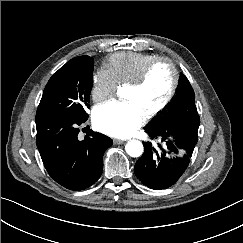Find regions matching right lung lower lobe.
Segmentation results:
<instances>
[{
	"label": "right lung lower lobe",
	"instance_id": "1",
	"mask_svg": "<svg viewBox=\"0 0 243 243\" xmlns=\"http://www.w3.org/2000/svg\"><path fill=\"white\" fill-rule=\"evenodd\" d=\"M88 118L36 116V143L49 175L63 187L78 191L93 185L103 170L109 137L90 131L78 140V126Z\"/></svg>",
	"mask_w": 243,
	"mask_h": 243
}]
</instances>
